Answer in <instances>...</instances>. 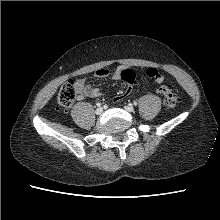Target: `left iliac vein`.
<instances>
[{
    "label": "left iliac vein",
    "mask_w": 220,
    "mask_h": 220,
    "mask_svg": "<svg viewBox=\"0 0 220 220\" xmlns=\"http://www.w3.org/2000/svg\"><path fill=\"white\" fill-rule=\"evenodd\" d=\"M124 108L127 112H133L134 111V107L132 105H126Z\"/></svg>",
    "instance_id": "1"
}]
</instances>
